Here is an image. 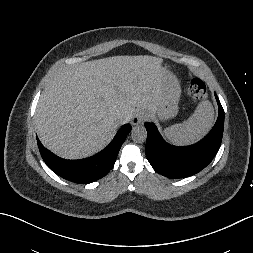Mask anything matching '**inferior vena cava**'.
<instances>
[{"label": "inferior vena cava", "instance_id": "obj_1", "mask_svg": "<svg viewBox=\"0 0 253 253\" xmlns=\"http://www.w3.org/2000/svg\"><path fill=\"white\" fill-rule=\"evenodd\" d=\"M131 116H124V117H119L114 120V128L116 130H121L123 126L127 124V122L131 119Z\"/></svg>", "mask_w": 253, "mask_h": 253}]
</instances>
